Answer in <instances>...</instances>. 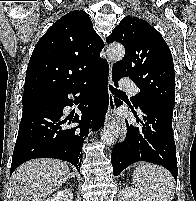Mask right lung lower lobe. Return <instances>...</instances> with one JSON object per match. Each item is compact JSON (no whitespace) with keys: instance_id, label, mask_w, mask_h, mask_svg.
Masks as SVG:
<instances>
[{"instance_id":"1","label":"right lung lower lobe","mask_w":196,"mask_h":201,"mask_svg":"<svg viewBox=\"0 0 196 201\" xmlns=\"http://www.w3.org/2000/svg\"><path fill=\"white\" fill-rule=\"evenodd\" d=\"M107 83L108 64L104 63L80 83L23 105L10 173L35 158L65 160L80 171L84 138L90 128L98 130L104 124L109 103ZM68 94H79L80 116H63L64 107L73 105Z\"/></svg>"}]
</instances>
